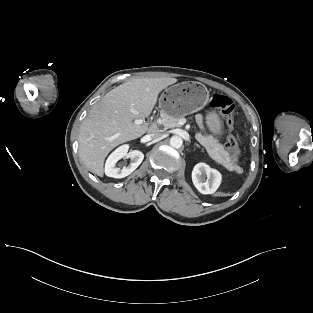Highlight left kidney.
Instances as JSON below:
<instances>
[{"label":"left kidney","instance_id":"obj_1","mask_svg":"<svg viewBox=\"0 0 313 313\" xmlns=\"http://www.w3.org/2000/svg\"><path fill=\"white\" fill-rule=\"evenodd\" d=\"M192 181L202 194H213L221 183V174L205 163H198L192 171Z\"/></svg>","mask_w":313,"mask_h":313}]
</instances>
